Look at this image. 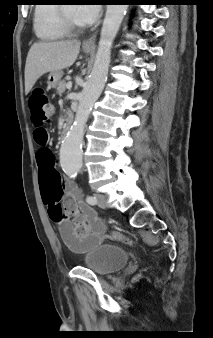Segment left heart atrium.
Returning <instances> with one entry per match:
<instances>
[{
  "label": "left heart atrium",
  "mask_w": 213,
  "mask_h": 338,
  "mask_svg": "<svg viewBox=\"0 0 213 338\" xmlns=\"http://www.w3.org/2000/svg\"><path fill=\"white\" fill-rule=\"evenodd\" d=\"M89 0H86V3ZM101 14L99 5H80L76 12L77 19L83 24H92L97 21Z\"/></svg>",
  "instance_id": "left-heart-atrium-1"
}]
</instances>
